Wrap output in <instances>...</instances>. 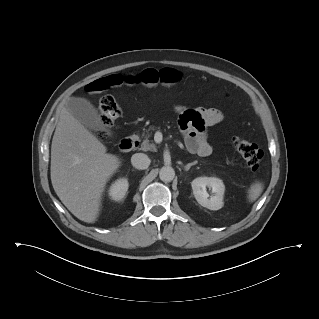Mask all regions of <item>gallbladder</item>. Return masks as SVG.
<instances>
[{
    "instance_id": "obj_1",
    "label": "gallbladder",
    "mask_w": 319,
    "mask_h": 319,
    "mask_svg": "<svg viewBox=\"0 0 319 319\" xmlns=\"http://www.w3.org/2000/svg\"><path fill=\"white\" fill-rule=\"evenodd\" d=\"M66 105L69 111L89 130L94 132L109 131L107 126L101 121L97 109L88 100L71 97L67 100Z\"/></svg>"
}]
</instances>
